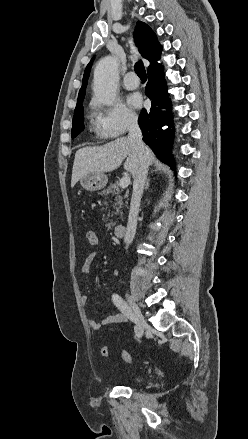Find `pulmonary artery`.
Returning a JSON list of instances; mask_svg holds the SVG:
<instances>
[{
  "label": "pulmonary artery",
  "mask_w": 248,
  "mask_h": 439,
  "mask_svg": "<svg viewBox=\"0 0 248 439\" xmlns=\"http://www.w3.org/2000/svg\"><path fill=\"white\" fill-rule=\"evenodd\" d=\"M123 86L128 90L137 89L139 80L134 72H128L123 78Z\"/></svg>",
  "instance_id": "obj_1"
}]
</instances>
